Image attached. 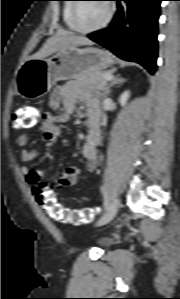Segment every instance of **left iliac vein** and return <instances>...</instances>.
Instances as JSON below:
<instances>
[{"label":"left iliac vein","mask_w":180,"mask_h":299,"mask_svg":"<svg viewBox=\"0 0 180 299\" xmlns=\"http://www.w3.org/2000/svg\"><path fill=\"white\" fill-rule=\"evenodd\" d=\"M119 206V199L114 198L104 215L98 220L97 225L102 226L109 223L116 216Z\"/></svg>","instance_id":"left-iliac-vein-1"}]
</instances>
